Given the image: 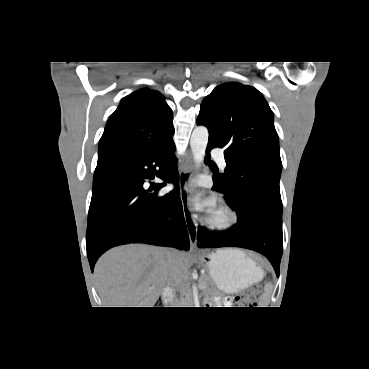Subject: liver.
Returning <instances> with one entry per match:
<instances>
[{"instance_id": "liver-1", "label": "liver", "mask_w": 369, "mask_h": 369, "mask_svg": "<svg viewBox=\"0 0 369 369\" xmlns=\"http://www.w3.org/2000/svg\"><path fill=\"white\" fill-rule=\"evenodd\" d=\"M173 257L167 262V255ZM187 254L131 244L113 248L98 260L94 275L104 307H154L166 286L188 278Z\"/></svg>"}]
</instances>
